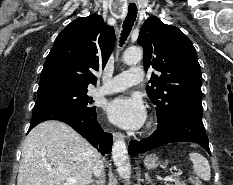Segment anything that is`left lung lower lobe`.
<instances>
[{"instance_id":"obj_1","label":"left lung lower lobe","mask_w":233,"mask_h":185,"mask_svg":"<svg viewBox=\"0 0 233 185\" xmlns=\"http://www.w3.org/2000/svg\"><path fill=\"white\" fill-rule=\"evenodd\" d=\"M186 141L196 142L211 155L208 137L202 122L201 100H193L184 104L168 123L158 124V129L149 138L141 141L132 140L128 151L131 154H137L163 144Z\"/></svg>"}]
</instances>
